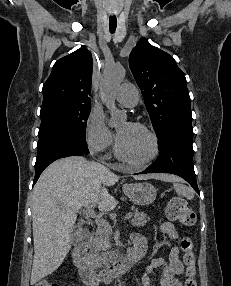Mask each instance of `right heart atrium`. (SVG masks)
Here are the masks:
<instances>
[{
  "label": "right heart atrium",
  "instance_id": "d8ad5b80",
  "mask_svg": "<svg viewBox=\"0 0 231 286\" xmlns=\"http://www.w3.org/2000/svg\"><path fill=\"white\" fill-rule=\"evenodd\" d=\"M85 142L93 154L106 153L113 144V135L101 113L92 111L86 121Z\"/></svg>",
  "mask_w": 231,
  "mask_h": 286
}]
</instances>
